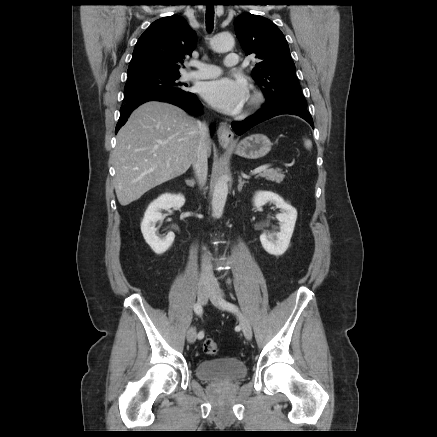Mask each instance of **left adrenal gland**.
Here are the masks:
<instances>
[{"instance_id":"a2214340","label":"left adrenal gland","mask_w":437,"mask_h":437,"mask_svg":"<svg viewBox=\"0 0 437 437\" xmlns=\"http://www.w3.org/2000/svg\"><path fill=\"white\" fill-rule=\"evenodd\" d=\"M239 184H238V191L240 192L242 190V187L245 183H247V181L242 180V177L239 176V180H238Z\"/></svg>"}]
</instances>
